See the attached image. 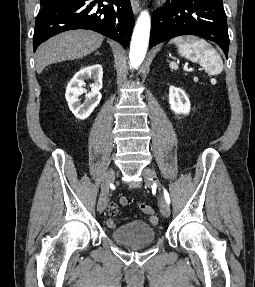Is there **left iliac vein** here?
<instances>
[{
  "label": "left iliac vein",
  "instance_id": "1",
  "mask_svg": "<svg viewBox=\"0 0 255 287\" xmlns=\"http://www.w3.org/2000/svg\"><path fill=\"white\" fill-rule=\"evenodd\" d=\"M142 176H143V179L147 185L155 183L158 185L159 190L161 189V184L158 180L156 172L153 169L145 168L142 172ZM160 211L164 217H166V218L169 217L170 207H169V204L167 203L166 199L164 198V196L162 194L160 196Z\"/></svg>",
  "mask_w": 255,
  "mask_h": 287
}]
</instances>
